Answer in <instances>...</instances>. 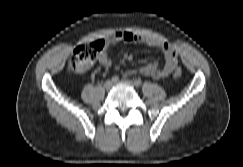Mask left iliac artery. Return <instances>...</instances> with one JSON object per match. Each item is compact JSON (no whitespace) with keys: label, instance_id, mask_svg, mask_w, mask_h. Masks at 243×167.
I'll return each mask as SVG.
<instances>
[{"label":"left iliac artery","instance_id":"left-iliac-artery-1","mask_svg":"<svg viewBox=\"0 0 243 167\" xmlns=\"http://www.w3.org/2000/svg\"><path fill=\"white\" fill-rule=\"evenodd\" d=\"M134 83L136 86L142 85V81L140 79H135Z\"/></svg>","mask_w":243,"mask_h":167}]
</instances>
